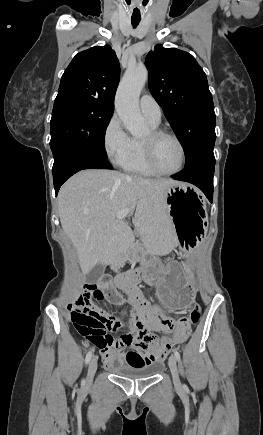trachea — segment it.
<instances>
[{
	"mask_svg": "<svg viewBox=\"0 0 263 435\" xmlns=\"http://www.w3.org/2000/svg\"><path fill=\"white\" fill-rule=\"evenodd\" d=\"M140 20H131L132 26L136 27L139 24Z\"/></svg>",
	"mask_w": 263,
	"mask_h": 435,
	"instance_id": "1",
	"label": "trachea"
}]
</instances>
